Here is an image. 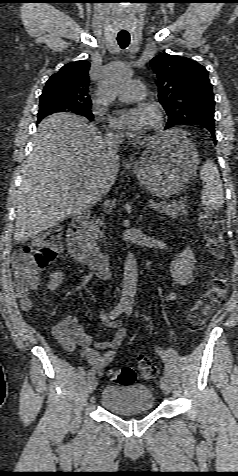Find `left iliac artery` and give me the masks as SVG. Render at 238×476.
Returning a JSON list of instances; mask_svg holds the SVG:
<instances>
[{"label": "left iliac artery", "mask_w": 238, "mask_h": 476, "mask_svg": "<svg viewBox=\"0 0 238 476\" xmlns=\"http://www.w3.org/2000/svg\"><path fill=\"white\" fill-rule=\"evenodd\" d=\"M125 312L127 315H130L132 313V306L131 305H127L125 307ZM155 351L161 356V358L163 359V361L165 362V369H164V375L166 377L169 376V367H168V354L165 350H163L162 348H156Z\"/></svg>", "instance_id": "left-iliac-artery-1"}]
</instances>
